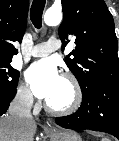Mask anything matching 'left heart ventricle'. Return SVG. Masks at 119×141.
<instances>
[{
    "mask_svg": "<svg viewBox=\"0 0 119 141\" xmlns=\"http://www.w3.org/2000/svg\"><path fill=\"white\" fill-rule=\"evenodd\" d=\"M73 97L70 84L61 78L60 83L54 94L47 100L55 108H62L71 102Z\"/></svg>",
    "mask_w": 119,
    "mask_h": 141,
    "instance_id": "obj_1",
    "label": "left heart ventricle"
}]
</instances>
